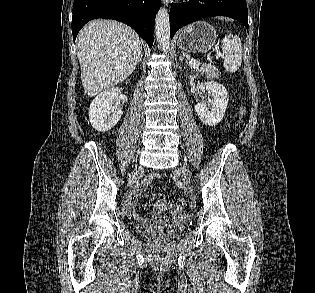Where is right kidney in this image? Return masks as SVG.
<instances>
[{
    "label": "right kidney",
    "instance_id": "1",
    "mask_svg": "<svg viewBox=\"0 0 315 293\" xmlns=\"http://www.w3.org/2000/svg\"><path fill=\"white\" fill-rule=\"evenodd\" d=\"M119 93V89L114 87L101 92L92 101L89 119L92 127L98 132L111 130L120 120L123 112L116 105Z\"/></svg>",
    "mask_w": 315,
    "mask_h": 293
}]
</instances>
